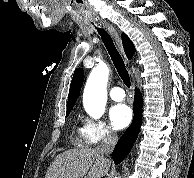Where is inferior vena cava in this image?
<instances>
[{
  "label": "inferior vena cava",
  "mask_w": 194,
  "mask_h": 178,
  "mask_svg": "<svg viewBox=\"0 0 194 178\" xmlns=\"http://www.w3.org/2000/svg\"><path fill=\"white\" fill-rule=\"evenodd\" d=\"M117 141H118V136L112 131H109L102 138V141L97 146L96 151L100 154V156L103 159H105V156L110 154L113 151Z\"/></svg>",
  "instance_id": "inferior-vena-cava-1"
}]
</instances>
